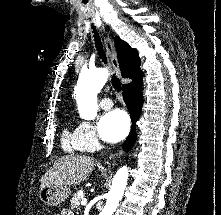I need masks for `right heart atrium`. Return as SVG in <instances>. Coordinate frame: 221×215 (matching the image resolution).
<instances>
[{
  "label": "right heart atrium",
  "instance_id": "obj_1",
  "mask_svg": "<svg viewBox=\"0 0 221 215\" xmlns=\"http://www.w3.org/2000/svg\"><path fill=\"white\" fill-rule=\"evenodd\" d=\"M76 135L83 151H92L99 146V136L90 122H80L76 128Z\"/></svg>",
  "mask_w": 221,
  "mask_h": 215
}]
</instances>
